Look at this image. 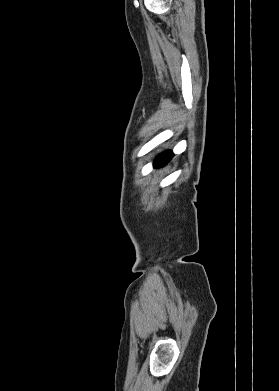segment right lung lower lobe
Wrapping results in <instances>:
<instances>
[{
    "instance_id": "right-lung-lower-lobe-1",
    "label": "right lung lower lobe",
    "mask_w": 279,
    "mask_h": 391,
    "mask_svg": "<svg viewBox=\"0 0 279 391\" xmlns=\"http://www.w3.org/2000/svg\"><path fill=\"white\" fill-rule=\"evenodd\" d=\"M173 157V154L171 151L164 152L163 154L159 155L154 162V166L161 167L165 165L171 158Z\"/></svg>"
}]
</instances>
